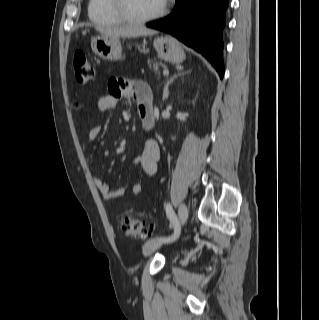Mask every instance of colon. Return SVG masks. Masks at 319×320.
I'll list each match as a JSON object with an SVG mask.
<instances>
[{"instance_id": "colon-1", "label": "colon", "mask_w": 319, "mask_h": 320, "mask_svg": "<svg viewBox=\"0 0 319 320\" xmlns=\"http://www.w3.org/2000/svg\"><path fill=\"white\" fill-rule=\"evenodd\" d=\"M73 69L76 80L81 84L90 82L95 74L93 63L83 51H76L73 55ZM122 235L124 237H150L151 226L132 215H125L120 218Z\"/></svg>"}]
</instances>
